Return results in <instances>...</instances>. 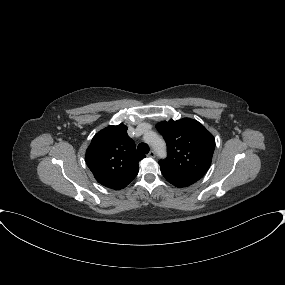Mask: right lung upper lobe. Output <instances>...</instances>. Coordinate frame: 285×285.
<instances>
[{"mask_svg":"<svg viewBox=\"0 0 285 285\" xmlns=\"http://www.w3.org/2000/svg\"><path fill=\"white\" fill-rule=\"evenodd\" d=\"M145 157L136 151L124 124L108 126L92 139L85 155L95 179L114 190L125 188L138 174V163Z\"/></svg>","mask_w":285,"mask_h":285,"instance_id":"obj_1","label":"right lung upper lobe"}]
</instances>
